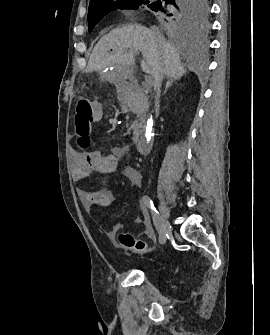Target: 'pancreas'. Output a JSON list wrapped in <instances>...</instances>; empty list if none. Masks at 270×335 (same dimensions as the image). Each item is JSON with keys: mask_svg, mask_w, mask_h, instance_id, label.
<instances>
[{"mask_svg": "<svg viewBox=\"0 0 270 335\" xmlns=\"http://www.w3.org/2000/svg\"><path fill=\"white\" fill-rule=\"evenodd\" d=\"M141 132H142V130L140 128V124H138V122H134L132 140H133V142H135V144H136L137 140H139V136H140Z\"/></svg>", "mask_w": 270, "mask_h": 335, "instance_id": "cf45deb5", "label": "pancreas"}]
</instances>
